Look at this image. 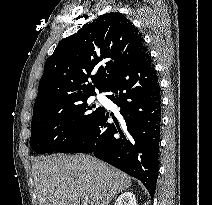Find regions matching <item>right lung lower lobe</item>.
Wrapping results in <instances>:
<instances>
[{"label": "right lung lower lobe", "mask_w": 212, "mask_h": 205, "mask_svg": "<svg viewBox=\"0 0 212 205\" xmlns=\"http://www.w3.org/2000/svg\"><path fill=\"white\" fill-rule=\"evenodd\" d=\"M103 92L120 107L122 120L108 123L103 109L95 122L61 153L94 155L138 178L154 196L158 178L161 95L149 51L124 67ZM114 118V117H113Z\"/></svg>", "instance_id": "right-lung-lower-lobe-1"}]
</instances>
